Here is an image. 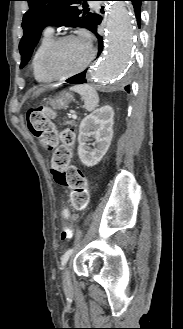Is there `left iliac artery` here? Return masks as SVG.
I'll return each instance as SVG.
<instances>
[{"mask_svg":"<svg viewBox=\"0 0 183 329\" xmlns=\"http://www.w3.org/2000/svg\"><path fill=\"white\" fill-rule=\"evenodd\" d=\"M72 252H73V249H68V250L63 254V256H62V258H61V264H62L63 267H64L65 264L67 263V261H68L70 255L72 254Z\"/></svg>","mask_w":183,"mask_h":329,"instance_id":"44dca946","label":"left iliac artery"}]
</instances>
